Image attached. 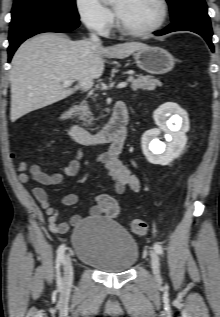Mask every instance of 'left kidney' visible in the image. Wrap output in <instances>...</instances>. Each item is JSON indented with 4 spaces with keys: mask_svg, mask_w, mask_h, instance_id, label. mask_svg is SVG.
I'll return each instance as SVG.
<instances>
[{
    "mask_svg": "<svg viewBox=\"0 0 220 317\" xmlns=\"http://www.w3.org/2000/svg\"><path fill=\"white\" fill-rule=\"evenodd\" d=\"M159 129L146 131L142 136V150L147 160L153 164L167 165L177 158L187 143L185 133L189 129L187 113L176 103H164L153 113ZM161 131L168 143L158 139Z\"/></svg>",
    "mask_w": 220,
    "mask_h": 317,
    "instance_id": "1",
    "label": "left kidney"
}]
</instances>
